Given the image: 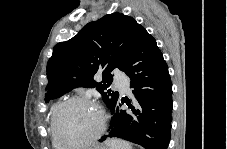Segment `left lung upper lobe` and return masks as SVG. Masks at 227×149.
I'll use <instances>...</instances> for the list:
<instances>
[{
    "instance_id": "left-lung-upper-lobe-1",
    "label": "left lung upper lobe",
    "mask_w": 227,
    "mask_h": 149,
    "mask_svg": "<svg viewBox=\"0 0 227 149\" xmlns=\"http://www.w3.org/2000/svg\"><path fill=\"white\" fill-rule=\"evenodd\" d=\"M140 26L132 17L112 13L88 23L76 36L55 45L47 63L46 102L74 88L87 87L96 88L111 108L119 93L109 89L110 72L115 68L124 70ZM99 73L103 79L96 82L94 77Z\"/></svg>"
}]
</instances>
